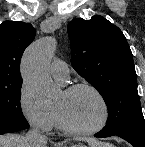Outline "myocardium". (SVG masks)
<instances>
[{"mask_svg":"<svg viewBox=\"0 0 145 147\" xmlns=\"http://www.w3.org/2000/svg\"><path fill=\"white\" fill-rule=\"evenodd\" d=\"M79 89L90 90L97 97V99L99 100V102L102 106L103 116H102L101 121L96 126L88 128V129L75 128V127L71 126L64 119L63 115L61 114V112L58 109H54V111H55L58 125L63 131H65L69 134L75 135V136H90L95 133H98L99 131L104 129L105 126L108 124V121L110 118V109H109V105H108L105 97L100 92V90L90 83L80 82V83L71 84L64 90V92L66 94H71Z\"/></svg>","mask_w":145,"mask_h":147,"instance_id":"f54148a6","label":"myocardium"}]
</instances>
